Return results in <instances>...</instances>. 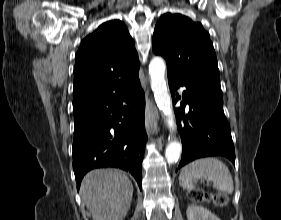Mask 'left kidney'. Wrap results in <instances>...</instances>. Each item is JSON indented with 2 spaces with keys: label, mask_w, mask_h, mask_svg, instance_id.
Instances as JSON below:
<instances>
[{
  "label": "left kidney",
  "mask_w": 281,
  "mask_h": 220,
  "mask_svg": "<svg viewBox=\"0 0 281 220\" xmlns=\"http://www.w3.org/2000/svg\"><path fill=\"white\" fill-rule=\"evenodd\" d=\"M188 220H221L208 209L199 205H190L186 211Z\"/></svg>",
  "instance_id": "left-kidney-1"
}]
</instances>
